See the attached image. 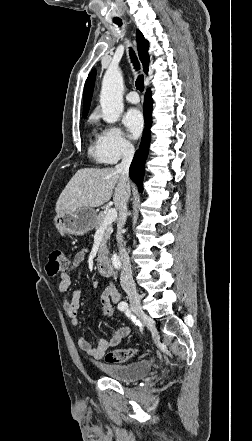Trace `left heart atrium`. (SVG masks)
Segmentation results:
<instances>
[{
	"instance_id": "1",
	"label": "left heart atrium",
	"mask_w": 252,
	"mask_h": 441,
	"mask_svg": "<svg viewBox=\"0 0 252 441\" xmlns=\"http://www.w3.org/2000/svg\"><path fill=\"white\" fill-rule=\"evenodd\" d=\"M123 123L129 133V136L133 139L137 138L141 134L144 127L143 116L137 109L129 110L123 118Z\"/></svg>"
}]
</instances>
